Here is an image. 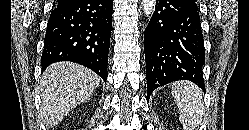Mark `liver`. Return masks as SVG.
Returning a JSON list of instances; mask_svg holds the SVG:
<instances>
[{
  "label": "liver",
  "mask_w": 249,
  "mask_h": 130,
  "mask_svg": "<svg viewBox=\"0 0 249 130\" xmlns=\"http://www.w3.org/2000/svg\"><path fill=\"white\" fill-rule=\"evenodd\" d=\"M100 77L92 70L72 62L49 66L40 81V116L52 128L71 110L88 99L98 88Z\"/></svg>",
  "instance_id": "6515ba94"
}]
</instances>
